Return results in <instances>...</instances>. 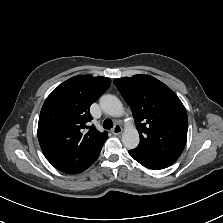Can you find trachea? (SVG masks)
Listing matches in <instances>:
<instances>
[{
    "instance_id": "trachea-1",
    "label": "trachea",
    "mask_w": 223,
    "mask_h": 223,
    "mask_svg": "<svg viewBox=\"0 0 223 223\" xmlns=\"http://www.w3.org/2000/svg\"><path fill=\"white\" fill-rule=\"evenodd\" d=\"M103 128L104 129H111V128H113V122L110 119L104 120Z\"/></svg>"
}]
</instances>
